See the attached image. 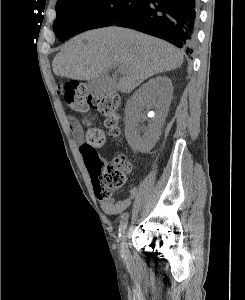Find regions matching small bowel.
I'll use <instances>...</instances> for the list:
<instances>
[{"instance_id": "obj_1", "label": "small bowel", "mask_w": 245, "mask_h": 300, "mask_svg": "<svg viewBox=\"0 0 245 300\" xmlns=\"http://www.w3.org/2000/svg\"><path fill=\"white\" fill-rule=\"evenodd\" d=\"M70 128L71 132L73 134L74 140L77 143H82L83 142V129L81 125L75 120L71 119L70 120ZM139 190L136 187H133L129 191V196L121 201H115L113 199H108V200H101L100 206L102 210L106 214H119L124 212L131 204L132 200L136 198L138 195Z\"/></svg>"}]
</instances>
